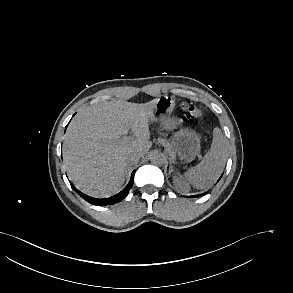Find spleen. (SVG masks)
<instances>
[{
	"label": "spleen",
	"instance_id": "obj_1",
	"mask_svg": "<svg viewBox=\"0 0 293 293\" xmlns=\"http://www.w3.org/2000/svg\"><path fill=\"white\" fill-rule=\"evenodd\" d=\"M226 161V141L219 128L213 131V141L210 150L202 161L185 172L186 180L197 189L211 187L218 179Z\"/></svg>",
	"mask_w": 293,
	"mask_h": 293
}]
</instances>
